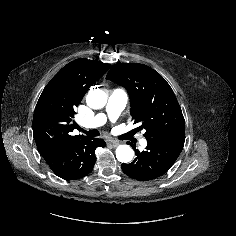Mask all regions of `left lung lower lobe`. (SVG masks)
<instances>
[{
  "mask_svg": "<svg viewBox=\"0 0 236 236\" xmlns=\"http://www.w3.org/2000/svg\"><path fill=\"white\" fill-rule=\"evenodd\" d=\"M145 151L135 150L137 157L132 163L122 164V171L139 181H150L164 175L180 155L185 132L147 139Z\"/></svg>",
  "mask_w": 236,
  "mask_h": 236,
  "instance_id": "1",
  "label": "left lung lower lobe"
}]
</instances>
